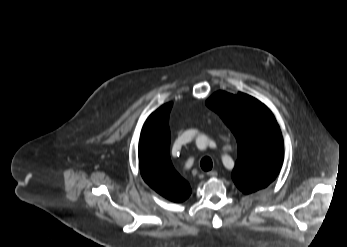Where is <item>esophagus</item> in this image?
<instances>
[{
    "instance_id": "esophagus-1",
    "label": "esophagus",
    "mask_w": 347,
    "mask_h": 247,
    "mask_svg": "<svg viewBox=\"0 0 347 247\" xmlns=\"http://www.w3.org/2000/svg\"><path fill=\"white\" fill-rule=\"evenodd\" d=\"M217 171L216 170H212V171H209V172H207V175L209 176V177H215V176H217Z\"/></svg>"
}]
</instances>
